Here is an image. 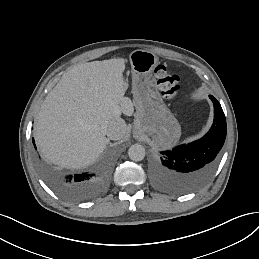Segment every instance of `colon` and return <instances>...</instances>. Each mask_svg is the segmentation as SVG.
Instances as JSON below:
<instances>
[{"instance_id":"obj_1","label":"colon","mask_w":259,"mask_h":259,"mask_svg":"<svg viewBox=\"0 0 259 259\" xmlns=\"http://www.w3.org/2000/svg\"><path fill=\"white\" fill-rule=\"evenodd\" d=\"M155 76L161 95L167 100L177 99L180 91L179 76L164 66H158L155 69Z\"/></svg>"}]
</instances>
